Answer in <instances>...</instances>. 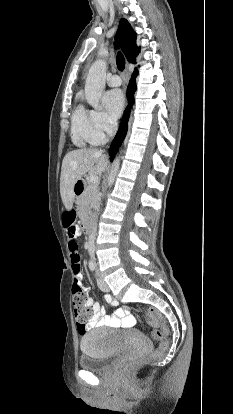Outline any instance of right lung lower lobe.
<instances>
[{"mask_svg": "<svg viewBox=\"0 0 233 414\" xmlns=\"http://www.w3.org/2000/svg\"><path fill=\"white\" fill-rule=\"evenodd\" d=\"M137 74H138L137 71H135L132 74V77L130 79V82H129V85H128V88H127V97H128V101H129L130 106L127 107V109L125 111V114L123 116L120 128H119V130H118V132H117V134H116V136H115V138H114V140L111 144L110 153H109L111 161L114 159V156L117 153V151H118L120 145L122 144V142H123V140L126 136V133H127V121H128V117H129V114H130L131 105L134 102L133 95H134V92L136 90L135 78H136Z\"/></svg>", "mask_w": 233, "mask_h": 414, "instance_id": "obj_1", "label": "right lung lower lobe"}]
</instances>
